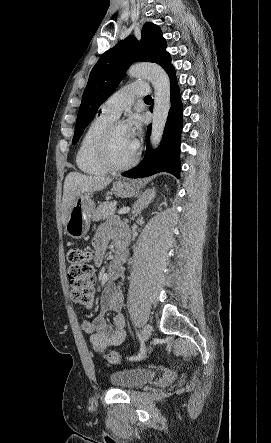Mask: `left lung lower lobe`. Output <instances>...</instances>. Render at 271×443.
I'll return each instance as SVG.
<instances>
[{
	"instance_id": "1",
	"label": "left lung lower lobe",
	"mask_w": 271,
	"mask_h": 443,
	"mask_svg": "<svg viewBox=\"0 0 271 443\" xmlns=\"http://www.w3.org/2000/svg\"><path fill=\"white\" fill-rule=\"evenodd\" d=\"M164 68L171 80V109L164 130L163 141L157 150H150L147 146L144 159L135 168L122 175L130 178L150 176L158 172H169L180 178V136L182 130V106L179 88L175 77V70L171 64V57L166 53L156 62ZM152 111V106L150 107ZM151 125L147 127L148 137Z\"/></svg>"
}]
</instances>
